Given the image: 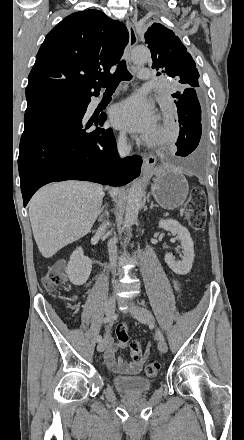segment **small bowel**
<instances>
[{
	"label": "small bowel",
	"mask_w": 244,
	"mask_h": 440,
	"mask_svg": "<svg viewBox=\"0 0 244 440\" xmlns=\"http://www.w3.org/2000/svg\"><path fill=\"white\" fill-rule=\"evenodd\" d=\"M173 288L179 299H182V286L176 279L172 280ZM116 344L110 340L108 341L105 351L104 360L107 367L114 373L122 376L133 377L136 376L142 369L143 363H132L125 361L122 357L116 360L115 358ZM148 353L145 355L146 358ZM145 360V359H144Z\"/></svg>",
	"instance_id": "small-bowel-1"
}]
</instances>
